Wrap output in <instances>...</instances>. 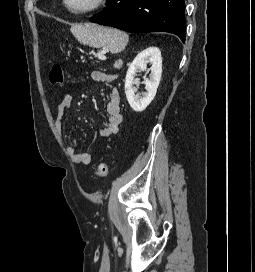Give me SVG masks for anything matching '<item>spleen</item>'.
Instances as JSON below:
<instances>
[{"label":"spleen","mask_w":255,"mask_h":272,"mask_svg":"<svg viewBox=\"0 0 255 272\" xmlns=\"http://www.w3.org/2000/svg\"><path fill=\"white\" fill-rule=\"evenodd\" d=\"M71 32L80 43L96 48L103 47L111 53H120L129 41L128 35L121 30L90 23L73 25Z\"/></svg>","instance_id":"1"}]
</instances>
